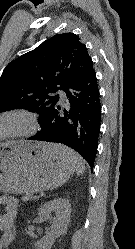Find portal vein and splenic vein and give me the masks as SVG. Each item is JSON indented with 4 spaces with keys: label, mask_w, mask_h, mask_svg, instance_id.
<instances>
[{
    "label": "portal vein and splenic vein",
    "mask_w": 135,
    "mask_h": 249,
    "mask_svg": "<svg viewBox=\"0 0 135 249\" xmlns=\"http://www.w3.org/2000/svg\"><path fill=\"white\" fill-rule=\"evenodd\" d=\"M33 198L36 200L38 197H37V196H34Z\"/></svg>",
    "instance_id": "obj_1"
}]
</instances>
